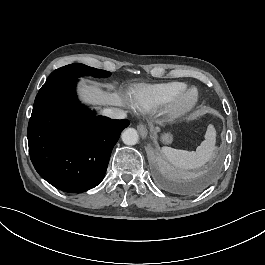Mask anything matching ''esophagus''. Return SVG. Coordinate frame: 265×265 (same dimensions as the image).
Returning a JSON list of instances; mask_svg holds the SVG:
<instances>
[{
	"mask_svg": "<svg viewBox=\"0 0 265 265\" xmlns=\"http://www.w3.org/2000/svg\"><path fill=\"white\" fill-rule=\"evenodd\" d=\"M137 130L139 131V133H140V135H141V137L143 139H145L147 137V135H148V129H147V127L144 124H139L137 126Z\"/></svg>",
	"mask_w": 265,
	"mask_h": 265,
	"instance_id": "1",
	"label": "esophagus"
}]
</instances>
